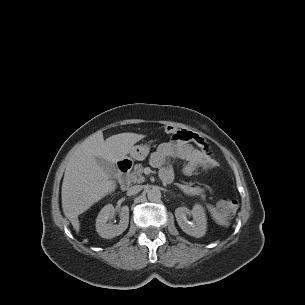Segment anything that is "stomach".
Here are the masks:
<instances>
[{"instance_id":"0dacf381","label":"stomach","mask_w":305,"mask_h":305,"mask_svg":"<svg viewBox=\"0 0 305 305\" xmlns=\"http://www.w3.org/2000/svg\"><path fill=\"white\" fill-rule=\"evenodd\" d=\"M150 147L147 144L135 145L129 151V160L143 161L149 154Z\"/></svg>"}]
</instances>
